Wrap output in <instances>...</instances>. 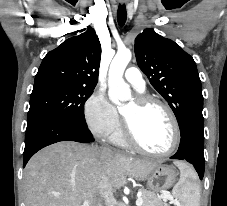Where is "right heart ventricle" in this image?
Instances as JSON below:
<instances>
[{
    "label": "right heart ventricle",
    "mask_w": 227,
    "mask_h": 206,
    "mask_svg": "<svg viewBox=\"0 0 227 206\" xmlns=\"http://www.w3.org/2000/svg\"><path fill=\"white\" fill-rule=\"evenodd\" d=\"M111 141L121 147H127L128 144L123 137V132L120 126L110 135Z\"/></svg>",
    "instance_id": "1"
}]
</instances>
